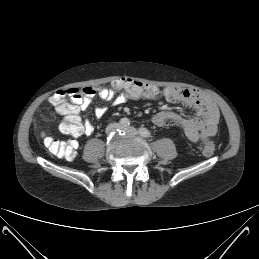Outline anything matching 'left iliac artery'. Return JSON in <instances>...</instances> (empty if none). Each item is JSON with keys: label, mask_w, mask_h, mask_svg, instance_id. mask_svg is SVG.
<instances>
[{"label": "left iliac artery", "mask_w": 259, "mask_h": 259, "mask_svg": "<svg viewBox=\"0 0 259 259\" xmlns=\"http://www.w3.org/2000/svg\"><path fill=\"white\" fill-rule=\"evenodd\" d=\"M139 133L141 136L146 138L152 137V134L150 133V131L144 127L139 128Z\"/></svg>", "instance_id": "1"}]
</instances>
